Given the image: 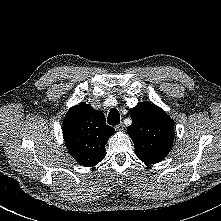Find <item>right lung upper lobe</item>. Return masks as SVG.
Returning <instances> with one entry per match:
<instances>
[{
	"instance_id": "obj_1",
	"label": "right lung upper lobe",
	"mask_w": 221,
	"mask_h": 221,
	"mask_svg": "<svg viewBox=\"0 0 221 221\" xmlns=\"http://www.w3.org/2000/svg\"><path fill=\"white\" fill-rule=\"evenodd\" d=\"M114 128L106 125L103 113L85 102L72 107L63 120V136L72 157L86 167L95 166L105 156V145Z\"/></svg>"
}]
</instances>
